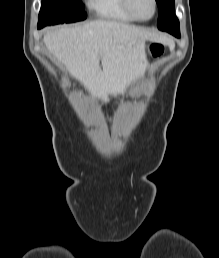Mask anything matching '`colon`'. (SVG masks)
I'll return each mask as SVG.
<instances>
[{"mask_svg": "<svg viewBox=\"0 0 219 258\" xmlns=\"http://www.w3.org/2000/svg\"><path fill=\"white\" fill-rule=\"evenodd\" d=\"M163 51H164V47L161 44L152 43L149 45V52L155 58L160 57L163 54Z\"/></svg>", "mask_w": 219, "mask_h": 258, "instance_id": "5ec220e1", "label": "colon"}]
</instances>
